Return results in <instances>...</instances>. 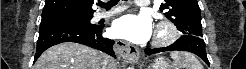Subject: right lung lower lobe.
Wrapping results in <instances>:
<instances>
[{
    "label": "right lung lower lobe",
    "mask_w": 246,
    "mask_h": 69,
    "mask_svg": "<svg viewBox=\"0 0 246 69\" xmlns=\"http://www.w3.org/2000/svg\"><path fill=\"white\" fill-rule=\"evenodd\" d=\"M104 26L80 23L50 22L40 24L35 60L49 47L67 41L81 43L115 57L114 41L102 37Z\"/></svg>",
    "instance_id": "1"
}]
</instances>
